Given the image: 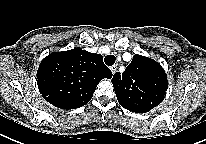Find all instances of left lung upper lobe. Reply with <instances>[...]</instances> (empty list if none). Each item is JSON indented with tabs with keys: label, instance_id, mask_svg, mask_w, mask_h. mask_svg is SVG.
<instances>
[{
	"label": "left lung upper lobe",
	"instance_id": "1",
	"mask_svg": "<svg viewBox=\"0 0 206 144\" xmlns=\"http://www.w3.org/2000/svg\"><path fill=\"white\" fill-rule=\"evenodd\" d=\"M112 83L118 102L135 113H146L159 105L167 90V77L153 59L135 55L124 73H115Z\"/></svg>",
	"mask_w": 206,
	"mask_h": 144
}]
</instances>
